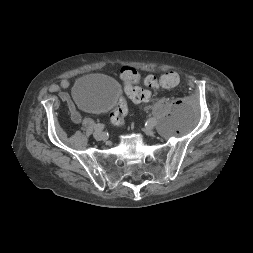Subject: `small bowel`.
Segmentation results:
<instances>
[{"label": "small bowel", "instance_id": "obj_1", "mask_svg": "<svg viewBox=\"0 0 253 253\" xmlns=\"http://www.w3.org/2000/svg\"><path fill=\"white\" fill-rule=\"evenodd\" d=\"M60 85L63 88H67L70 85V82H69V80L64 79V80L61 81ZM63 98H65L64 95H63ZM72 119H73L74 122L79 123L81 121V116L78 112H73Z\"/></svg>", "mask_w": 253, "mask_h": 253}]
</instances>
